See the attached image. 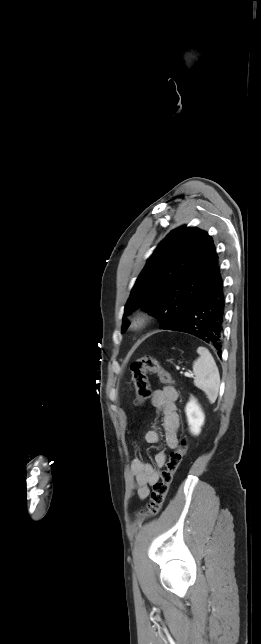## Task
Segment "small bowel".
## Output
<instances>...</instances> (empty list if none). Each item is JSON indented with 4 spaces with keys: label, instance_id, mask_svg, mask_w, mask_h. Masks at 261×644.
<instances>
[{
    "label": "small bowel",
    "instance_id": "small-bowel-1",
    "mask_svg": "<svg viewBox=\"0 0 261 644\" xmlns=\"http://www.w3.org/2000/svg\"><path fill=\"white\" fill-rule=\"evenodd\" d=\"M178 392L175 388L166 386L152 393L151 404L162 414L164 439L168 448L175 449L179 443L178 431L180 418L176 402ZM145 440L149 444H157L160 434L152 429L146 432ZM167 454L160 451L155 455V464L144 462L138 458L131 461L130 475L132 492L140 500H145L150 494V486L160 478V469L165 465Z\"/></svg>",
    "mask_w": 261,
    "mask_h": 644
}]
</instances>
